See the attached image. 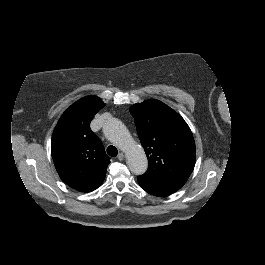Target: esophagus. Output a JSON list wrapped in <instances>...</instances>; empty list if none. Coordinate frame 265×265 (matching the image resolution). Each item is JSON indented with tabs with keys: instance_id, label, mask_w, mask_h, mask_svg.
Instances as JSON below:
<instances>
[{
	"instance_id": "34e87169",
	"label": "esophagus",
	"mask_w": 265,
	"mask_h": 265,
	"mask_svg": "<svg viewBox=\"0 0 265 265\" xmlns=\"http://www.w3.org/2000/svg\"><path fill=\"white\" fill-rule=\"evenodd\" d=\"M118 160L119 161H122L124 159V153L123 152H120L117 156Z\"/></svg>"
}]
</instances>
